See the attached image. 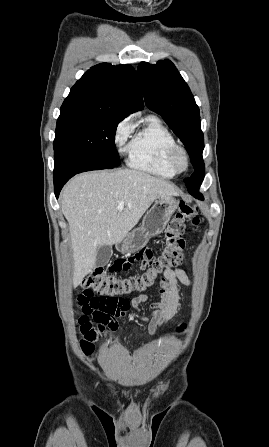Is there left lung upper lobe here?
<instances>
[{
	"instance_id": "left-lung-upper-lobe-1",
	"label": "left lung upper lobe",
	"mask_w": 269,
	"mask_h": 447,
	"mask_svg": "<svg viewBox=\"0 0 269 447\" xmlns=\"http://www.w3.org/2000/svg\"><path fill=\"white\" fill-rule=\"evenodd\" d=\"M137 74L146 105L163 117L188 151L195 171L184 179L188 191L199 188L205 174L204 138L199 108L187 83L170 60L154 65L142 62Z\"/></svg>"
}]
</instances>
